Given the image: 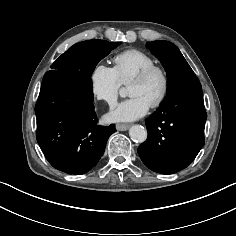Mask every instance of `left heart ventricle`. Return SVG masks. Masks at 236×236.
<instances>
[{
  "label": "left heart ventricle",
  "instance_id": "obj_1",
  "mask_svg": "<svg viewBox=\"0 0 236 236\" xmlns=\"http://www.w3.org/2000/svg\"><path fill=\"white\" fill-rule=\"evenodd\" d=\"M162 87V78L158 73H155L143 83L129 85L128 94L131 97L139 96L151 105L160 95Z\"/></svg>",
  "mask_w": 236,
  "mask_h": 236
}]
</instances>
